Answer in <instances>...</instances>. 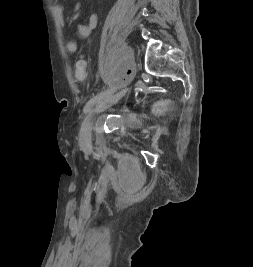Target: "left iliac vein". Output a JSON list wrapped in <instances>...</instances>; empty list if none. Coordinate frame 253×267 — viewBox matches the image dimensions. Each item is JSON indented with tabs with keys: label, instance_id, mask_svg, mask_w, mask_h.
Instances as JSON below:
<instances>
[{
	"label": "left iliac vein",
	"instance_id": "left-iliac-vein-1",
	"mask_svg": "<svg viewBox=\"0 0 253 267\" xmlns=\"http://www.w3.org/2000/svg\"><path fill=\"white\" fill-rule=\"evenodd\" d=\"M128 91V87L121 89L120 91L114 93L105 94L101 100V102L96 105L94 108L95 113H101L106 111L109 107L113 104L117 103ZM90 121L85 119L82 123L81 127V143L82 144H89L91 141L90 138Z\"/></svg>",
	"mask_w": 253,
	"mask_h": 267
}]
</instances>
